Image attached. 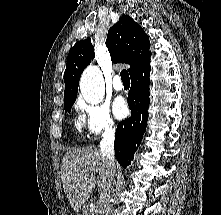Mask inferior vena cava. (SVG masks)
Returning a JSON list of instances; mask_svg holds the SVG:
<instances>
[{"label":"inferior vena cava","instance_id":"1","mask_svg":"<svg viewBox=\"0 0 221 215\" xmlns=\"http://www.w3.org/2000/svg\"><path fill=\"white\" fill-rule=\"evenodd\" d=\"M114 137L115 130L110 128L105 131L100 142V151L108 166V184L101 198V215H111V197L115 184V159H114Z\"/></svg>","mask_w":221,"mask_h":215}]
</instances>
